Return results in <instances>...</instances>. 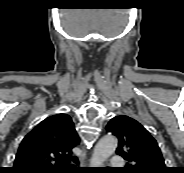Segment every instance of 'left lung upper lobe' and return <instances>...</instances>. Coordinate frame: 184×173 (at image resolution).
Here are the masks:
<instances>
[{"label": "left lung upper lobe", "mask_w": 184, "mask_h": 173, "mask_svg": "<svg viewBox=\"0 0 184 173\" xmlns=\"http://www.w3.org/2000/svg\"><path fill=\"white\" fill-rule=\"evenodd\" d=\"M106 129L118 138L116 154L128 161L124 173H167L156 140L139 122L125 115L116 116Z\"/></svg>", "instance_id": "1"}]
</instances>
